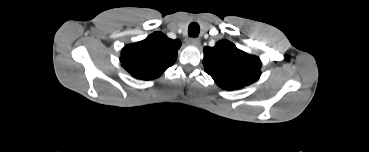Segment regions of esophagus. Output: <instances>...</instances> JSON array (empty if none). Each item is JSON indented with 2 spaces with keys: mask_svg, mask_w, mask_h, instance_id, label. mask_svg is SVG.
<instances>
[{
  "mask_svg": "<svg viewBox=\"0 0 369 152\" xmlns=\"http://www.w3.org/2000/svg\"><path fill=\"white\" fill-rule=\"evenodd\" d=\"M187 43L192 46H199L200 40L198 38H190Z\"/></svg>",
  "mask_w": 369,
  "mask_h": 152,
  "instance_id": "34e87169",
  "label": "esophagus"
}]
</instances>
